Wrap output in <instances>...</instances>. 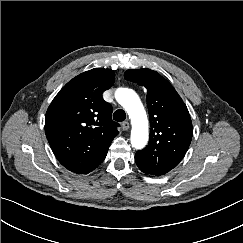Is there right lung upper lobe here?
<instances>
[{
	"label": "right lung upper lobe",
	"mask_w": 243,
	"mask_h": 243,
	"mask_svg": "<svg viewBox=\"0 0 243 243\" xmlns=\"http://www.w3.org/2000/svg\"><path fill=\"white\" fill-rule=\"evenodd\" d=\"M115 80L111 69L94 68L69 81L55 96L45 116V133L58 161L86 174L105 159L118 134L112 106L102 93Z\"/></svg>",
	"instance_id": "obj_1"
}]
</instances>
